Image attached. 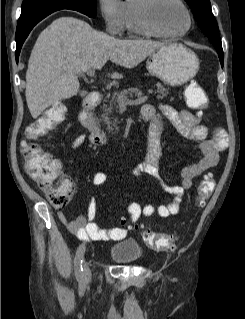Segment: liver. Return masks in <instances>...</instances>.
Wrapping results in <instances>:
<instances>
[{
    "label": "liver",
    "mask_w": 245,
    "mask_h": 319,
    "mask_svg": "<svg viewBox=\"0 0 245 319\" xmlns=\"http://www.w3.org/2000/svg\"><path fill=\"white\" fill-rule=\"evenodd\" d=\"M164 43L144 39H116L70 16L54 20L32 49L26 72V101L33 118L47 107L77 95V74L102 68L108 60L134 68ZM114 79L122 75L114 72Z\"/></svg>",
    "instance_id": "liver-1"
}]
</instances>
